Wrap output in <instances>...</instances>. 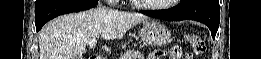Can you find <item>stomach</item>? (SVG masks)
Here are the masks:
<instances>
[{"label": "stomach", "mask_w": 261, "mask_h": 59, "mask_svg": "<svg viewBox=\"0 0 261 59\" xmlns=\"http://www.w3.org/2000/svg\"><path fill=\"white\" fill-rule=\"evenodd\" d=\"M141 40L151 46H163L171 41V33L158 21L146 20L141 29Z\"/></svg>", "instance_id": "0dacf381"}]
</instances>
